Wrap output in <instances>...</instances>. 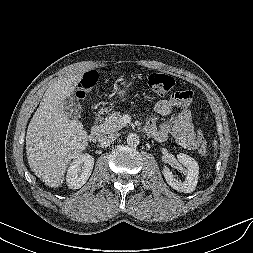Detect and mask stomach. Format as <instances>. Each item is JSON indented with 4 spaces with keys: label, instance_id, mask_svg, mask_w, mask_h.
<instances>
[{
    "label": "stomach",
    "instance_id": "0dacf381",
    "mask_svg": "<svg viewBox=\"0 0 253 253\" xmlns=\"http://www.w3.org/2000/svg\"><path fill=\"white\" fill-rule=\"evenodd\" d=\"M131 82H124L123 83V88L118 89L117 94L120 97H123L124 95H126L128 88L131 86Z\"/></svg>",
    "mask_w": 253,
    "mask_h": 253
}]
</instances>
